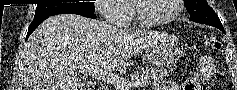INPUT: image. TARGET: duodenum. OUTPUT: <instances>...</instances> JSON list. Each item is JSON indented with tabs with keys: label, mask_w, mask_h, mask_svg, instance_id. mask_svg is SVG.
Segmentation results:
<instances>
[{
	"label": "duodenum",
	"mask_w": 237,
	"mask_h": 90,
	"mask_svg": "<svg viewBox=\"0 0 237 90\" xmlns=\"http://www.w3.org/2000/svg\"><path fill=\"white\" fill-rule=\"evenodd\" d=\"M102 90H109V87H102Z\"/></svg>",
	"instance_id": "410a0bca"
}]
</instances>
